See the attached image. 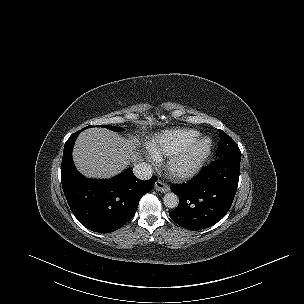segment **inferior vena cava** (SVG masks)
<instances>
[{"mask_svg": "<svg viewBox=\"0 0 304 304\" xmlns=\"http://www.w3.org/2000/svg\"><path fill=\"white\" fill-rule=\"evenodd\" d=\"M134 175L141 180H148L152 177L153 170L146 162H139L133 168Z\"/></svg>", "mask_w": 304, "mask_h": 304, "instance_id": "inferior-vena-cava-1", "label": "inferior vena cava"}]
</instances>
